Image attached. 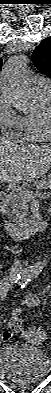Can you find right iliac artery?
Instances as JSON below:
<instances>
[{
  "label": "right iliac artery",
  "mask_w": 51,
  "mask_h": 393,
  "mask_svg": "<svg viewBox=\"0 0 51 393\" xmlns=\"http://www.w3.org/2000/svg\"><path fill=\"white\" fill-rule=\"evenodd\" d=\"M28 271L19 272L17 274L9 275L3 278L0 282V295L2 298H5L9 289L14 283H17L19 280L28 276Z\"/></svg>",
  "instance_id": "obj_1"
}]
</instances>
